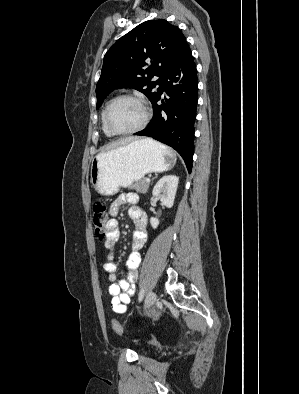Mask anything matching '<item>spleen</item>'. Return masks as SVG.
<instances>
[{"mask_svg":"<svg viewBox=\"0 0 299 394\" xmlns=\"http://www.w3.org/2000/svg\"><path fill=\"white\" fill-rule=\"evenodd\" d=\"M154 142H155V141H154ZM155 144H156V145H159L160 147H163L161 144H159V143H157V142H155Z\"/></svg>","mask_w":299,"mask_h":394,"instance_id":"3e777b00","label":"spleen"}]
</instances>
